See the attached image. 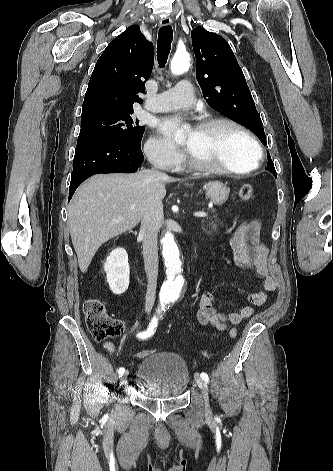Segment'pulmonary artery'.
<instances>
[{
  "instance_id": "1",
  "label": "pulmonary artery",
  "mask_w": 333,
  "mask_h": 471,
  "mask_svg": "<svg viewBox=\"0 0 333 471\" xmlns=\"http://www.w3.org/2000/svg\"><path fill=\"white\" fill-rule=\"evenodd\" d=\"M192 84L187 80L180 81L175 87L150 99L145 108L152 112H167L184 109L193 104Z\"/></svg>"
}]
</instances>
